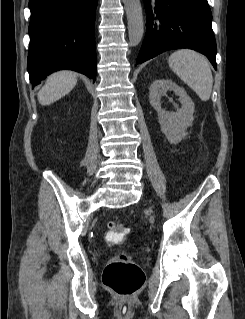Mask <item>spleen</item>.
I'll use <instances>...</instances> for the list:
<instances>
[{
  "label": "spleen",
  "mask_w": 245,
  "mask_h": 319,
  "mask_svg": "<svg viewBox=\"0 0 245 319\" xmlns=\"http://www.w3.org/2000/svg\"><path fill=\"white\" fill-rule=\"evenodd\" d=\"M168 63L172 71L193 89L201 100L210 99L213 77L206 57L191 49H180L170 55Z\"/></svg>",
  "instance_id": "3e777b00"
}]
</instances>
